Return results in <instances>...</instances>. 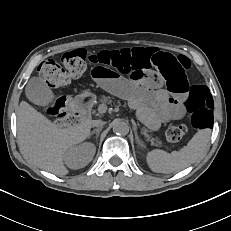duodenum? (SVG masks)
Returning a JSON list of instances; mask_svg holds the SVG:
<instances>
[{
    "instance_id": "duodenum-1",
    "label": "duodenum",
    "mask_w": 231,
    "mask_h": 231,
    "mask_svg": "<svg viewBox=\"0 0 231 231\" xmlns=\"http://www.w3.org/2000/svg\"><path fill=\"white\" fill-rule=\"evenodd\" d=\"M92 99L90 97H81L77 101V105L82 117V121H87L91 116Z\"/></svg>"
}]
</instances>
